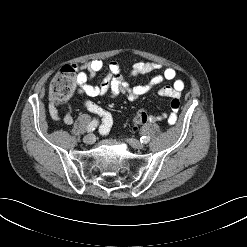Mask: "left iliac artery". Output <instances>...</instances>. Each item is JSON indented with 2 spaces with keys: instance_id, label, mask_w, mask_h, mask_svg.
<instances>
[{
  "instance_id": "44dca946",
  "label": "left iliac artery",
  "mask_w": 247,
  "mask_h": 247,
  "mask_svg": "<svg viewBox=\"0 0 247 247\" xmlns=\"http://www.w3.org/2000/svg\"><path fill=\"white\" fill-rule=\"evenodd\" d=\"M141 143L147 144L150 141V137L149 136H142L140 138Z\"/></svg>"
}]
</instances>
